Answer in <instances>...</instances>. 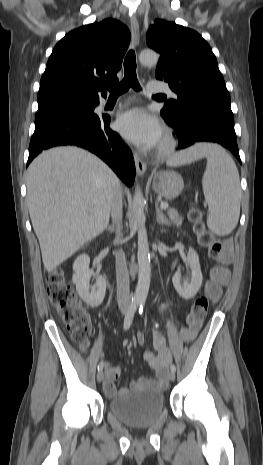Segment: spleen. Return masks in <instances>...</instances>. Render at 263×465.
I'll use <instances>...</instances> for the list:
<instances>
[{"mask_svg": "<svg viewBox=\"0 0 263 465\" xmlns=\"http://www.w3.org/2000/svg\"><path fill=\"white\" fill-rule=\"evenodd\" d=\"M206 157L202 179L205 201L208 204V228L224 236L236 227L240 214L241 189L239 173L230 155L220 146L199 143L167 161L168 166L191 163Z\"/></svg>", "mask_w": 263, "mask_h": 465, "instance_id": "obj_1", "label": "spleen"}]
</instances>
